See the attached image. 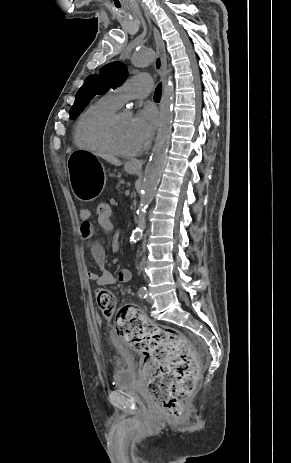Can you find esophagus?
Returning a JSON list of instances; mask_svg holds the SVG:
<instances>
[{
    "label": "esophagus",
    "instance_id": "34e87169",
    "mask_svg": "<svg viewBox=\"0 0 291 463\" xmlns=\"http://www.w3.org/2000/svg\"><path fill=\"white\" fill-rule=\"evenodd\" d=\"M153 33H154V38L156 42V51H157V55L154 61V66H155V69L160 74L161 80L163 82V87L165 90L166 84H167V80H166L167 73L165 70L167 57H166L165 44L163 40L161 39L159 31L156 28L153 29ZM129 163L135 167L140 168L143 165V160L133 159Z\"/></svg>",
    "mask_w": 291,
    "mask_h": 463
}]
</instances>
